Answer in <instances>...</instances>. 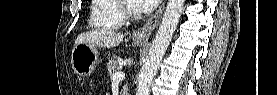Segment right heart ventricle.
Returning a JSON list of instances; mask_svg holds the SVG:
<instances>
[{"label":"right heart ventricle","mask_w":277,"mask_h":95,"mask_svg":"<svg viewBox=\"0 0 277 95\" xmlns=\"http://www.w3.org/2000/svg\"><path fill=\"white\" fill-rule=\"evenodd\" d=\"M118 0H92L90 27L99 30H114L121 27L124 19L117 11Z\"/></svg>","instance_id":"e07e8e85"}]
</instances>
